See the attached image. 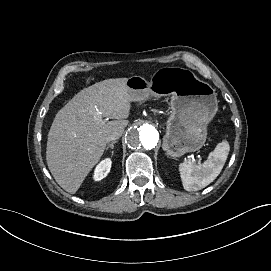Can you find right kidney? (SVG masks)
<instances>
[{
	"label": "right kidney",
	"instance_id": "obj_1",
	"mask_svg": "<svg viewBox=\"0 0 271 271\" xmlns=\"http://www.w3.org/2000/svg\"><path fill=\"white\" fill-rule=\"evenodd\" d=\"M112 161L110 158L102 160L95 168L93 179L95 181H100L105 178L111 169Z\"/></svg>",
	"mask_w": 271,
	"mask_h": 271
}]
</instances>
